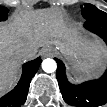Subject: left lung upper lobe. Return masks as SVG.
Wrapping results in <instances>:
<instances>
[{"instance_id": "obj_1", "label": "left lung upper lobe", "mask_w": 107, "mask_h": 107, "mask_svg": "<svg viewBox=\"0 0 107 107\" xmlns=\"http://www.w3.org/2000/svg\"><path fill=\"white\" fill-rule=\"evenodd\" d=\"M82 8V15L87 19H91L97 16L105 15L106 13L96 8L94 5L86 3Z\"/></svg>"}]
</instances>
